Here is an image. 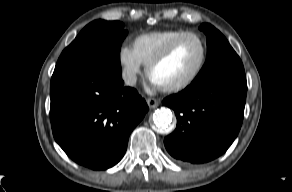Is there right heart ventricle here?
I'll use <instances>...</instances> for the list:
<instances>
[{
    "label": "right heart ventricle",
    "instance_id": "obj_1",
    "mask_svg": "<svg viewBox=\"0 0 292 192\" xmlns=\"http://www.w3.org/2000/svg\"><path fill=\"white\" fill-rule=\"evenodd\" d=\"M186 31L181 29H165L142 33L135 37L133 48L143 64H147L161 52L174 38Z\"/></svg>",
    "mask_w": 292,
    "mask_h": 192
}]
</instances>
